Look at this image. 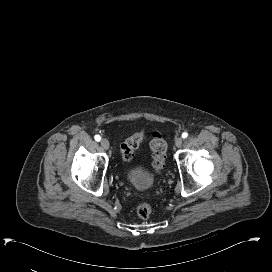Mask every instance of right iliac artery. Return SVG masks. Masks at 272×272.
Instances as JSON below:
<instances>
[{"instance_id": "obj_1", "label": "right iliac artery", "mask_w": 272, "mask_h": 272, "mask_svg": "<svg viewBox=\"0 0 272 272\" xmlns=\"http://www.w3.org/2000/svg\"><path fill=\"white\" fill-rule=\"evenodd\" d=\"M95 140L97 141V142H99L100 140H101V137L99 136V135H95Z\"/></svg>"}]
</instances>
